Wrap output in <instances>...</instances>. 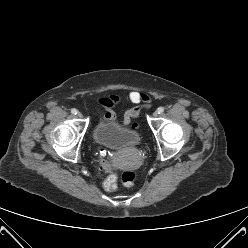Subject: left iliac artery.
Returning a JSON list of instances; mask_svg holds the SVG:
<instances>
[{
  "instance_id": "obj_1",
  "label": "left iliac artery",
  "mask_w": 248,
  "mask_h": 248,
  "mask_svg": "<svg viewBox=\"0 0 248 248\" xmlns=\"http://www.w3.org/2000/svg\"><path fill=\"white\" fill-rule=\"evenodd\" d=\"M157 111H158L159 114H161V113L164 112V108H163V107H159V108L157 109Z\"/></svg>"
}]
</instances>
